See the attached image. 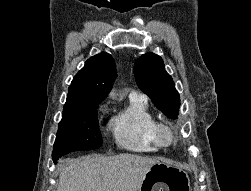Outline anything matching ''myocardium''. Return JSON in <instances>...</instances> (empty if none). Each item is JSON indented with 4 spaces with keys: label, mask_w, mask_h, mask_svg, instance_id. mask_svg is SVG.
<instances>
[{
    "label": "myocardium",
    "mask_w": 251,
    "mask_h": 191,
    "mask_svg": "<svg viewBox=\"0 0 251 191\" xmlns=\"http://www.w3.org/2000/svg\"><path fill=\"white\" fill-rule=\"evenodd\" d=\"M164 130L171 131L175 136V141L171 146H167L163 143L161 134ZM152 140L159 150V152H166L176 147L177 143L183 139L181 132L170 122L154 120L151 128Z\"/></svg>",
    "instance_id": "f54148a6"
}]
</instances>
